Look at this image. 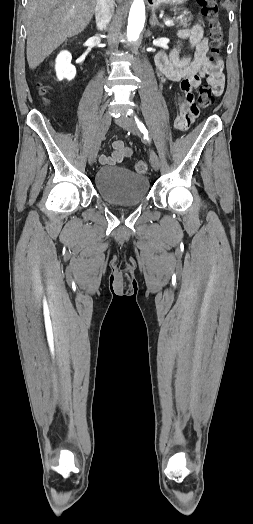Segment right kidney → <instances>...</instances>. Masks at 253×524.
<instances>
[{"mask_svg": "<svg viewBox=\"0 0 253 524\" xmlns=\"http://www.w3.org/2000/svg\"><path fill=\"white\" fill-rule=\"evenodd\" d=\"M72 56L68 51H62L56 59V74L59 80H72L76 75V69L71 64Z\"/></svg>", "mask_w": 253, "mask_h": 524, "instance_id": "obj_1", "label": "right kidney"}]
</instances>
